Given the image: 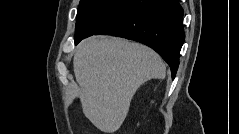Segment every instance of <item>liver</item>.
Here are the masks:
<instances>
[{
  "mask_svg": "<svg viewBox=\"0 0 239 134\" xmlns=\"http://www.w3.org/2000/svg\"><path fill=\"white\" fill-rule=\"evenodd\" d=\"M73 67L84 115L107 134L120 128L144 82L166 76L163 60L152 49L107 36L83 40Z\"/></svg>",
  "mask_w": 239,
  "mask_h": 134,
  "instance_id": "1",
  "label": "liver"
}]
</instances>
